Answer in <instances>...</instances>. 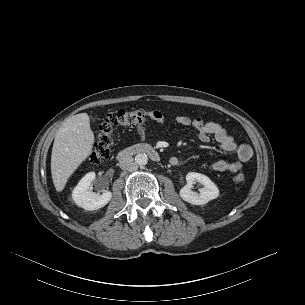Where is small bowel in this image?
<instances>
[{
	"label": "small bowel",
	"instance_id": "c3829d8e",
	"mask_svg": "<svg viewBox=\"0 0 305 305\" xmlns=\"http://www.w3.org/2000/svg\"><path fill=\"white\" fill-rule=\"evenodd\" d=\"M155 120L161 125L165 122L163 116ZM173 123L175 125L191 126L194 128L195 135L199 141L207 143L213 137L223 151L235 152L237 154L236 161L219 160L211 163L210 169L215 172L237 173L252 158L253 151L251 147L247 144L238 145L235 139L228 133L227 129L217 122H206L201 117L192 119L187 116H177L173 119ZM138 135L141 139L145 137L144 127L138 128ZM170 163L173 166H181L183 159L172 157Z\"/></svg>",
	"mask_w": 305,
	"mask_h": 305
}]
</instances>
